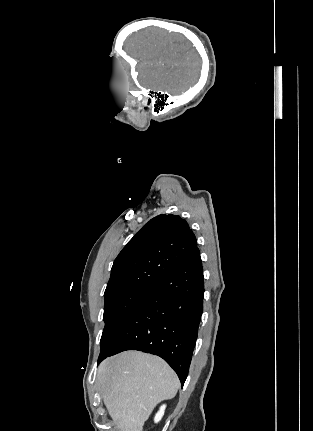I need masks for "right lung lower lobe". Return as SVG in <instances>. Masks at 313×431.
<instances>
[{"label": "right lung lower lobe", "instance_id": "obj_1", "mask_svg": "<svg viewBox=\"0 0 313 431\" xmlns=\"http://www.w3.org/2000/svg\"><path fill=\"white\" fill-rule=\"evenodd\" d=\"M203 269L199 249L159 283L101 348L100 363L126 350L158 355L183 386L203 312Z\"/></svg>", "mask_w": 313, "mask_h": 431}]
</instances>
